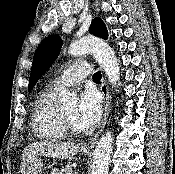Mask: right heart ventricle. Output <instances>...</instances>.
I'll return each instance as SVG.
<instances>
[{
	"label": "right heart ventricle",
	"mask_w": 175,
	"mask_h": 174,
	"mask_svg": "<svg viewBox=\"0 0 175 174\" xmlns=\"http://www.w3.org/2000/svg\"><path fill=\"white\" fill-rule=\"evenodd\" d=\"M31 125L34 135L40 140L59 141L65 138L66 133L61 124L55 90L49 88L37 96Z\"/></svg>",
	"instance_id": "1"
}]
</instances>
